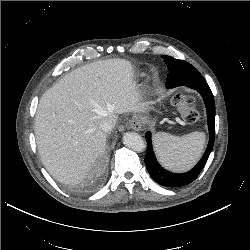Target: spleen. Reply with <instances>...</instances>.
Here are the masks:
<instances>
[{"label": "spleen", "instance_id": "obj_1", "mask_svg": "<svg viewBox=\"0 0 250 250\" xmlns=\"http://www.w3.org/2000/svg\"><path fill=\"white\" fill-rule=\"evenodd\" d=\"M205 144L203 132H192L183 137L158 132L154 147L160 163L173 171L190 169L199 159Z\"/></svg>", "mask_w": 250, "mask_h": 250}]
</instances>
